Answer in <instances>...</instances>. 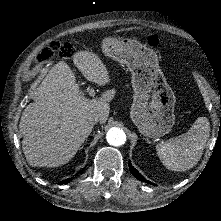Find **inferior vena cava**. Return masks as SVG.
Here are the masks:
<instances>
[{
	"mask_svg": "<svg viewBox=\"0 0 221 221\" xmlns=\"http://www.w3.org/2000/svg\"><path fill=\"white\" fill-rule=\"evenodd\" d=\"M87 121L90 125H94L100 121V114L99 113H91L87 117Z\"/></svg>",
	"mask_w": 221,
	"mask_h": 221,
	"instance_id": "obj_1",
	"label": "inferior vena cava"
}]
</instances>
